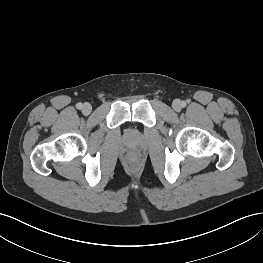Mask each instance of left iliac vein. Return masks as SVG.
<instances>
[{
	"label": "left iliac vein",
	"instance_id": "left-iliac-vein-1",
	"mask_svg": "<svg viewBox=\"0 0 263 263\" xmlns=\"http://www.w3.org/2000/svg\"><path fill=\"white\" fill-rule=\"evenodd\" d=\"M172 108L174 111L179 112L182 109V103L180 100L176 99L172 103Z\"/></svg>",
	"mask_w": 263,
	"mask_h": 263
}]
</instances>
